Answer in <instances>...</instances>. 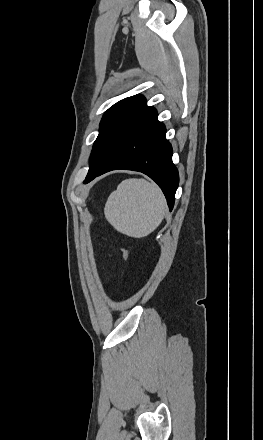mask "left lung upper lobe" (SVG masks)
<instances>
[{
  "instance_id": "1",
  "label": "left lung upper lobe",
  "mask_w": 263,
  "mask_h": 440,
  "mask_svg": "<svg viewBox=\"0 0 263 440\" xmlns=\"http://www.w3.org/2000/svg\"><path fill=\"white\" fill-rule=\"evenodd\" d=\"M145 104L146 100L142 95H135L117 102L105 112L99 135L93 145L87 176L105 166L130 122Z\"/></svg>"
}]
</instances>
